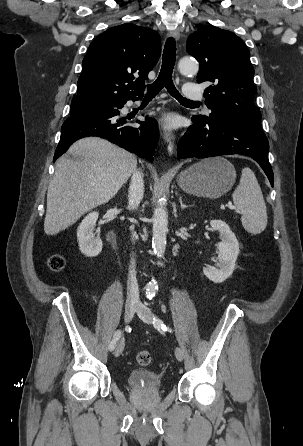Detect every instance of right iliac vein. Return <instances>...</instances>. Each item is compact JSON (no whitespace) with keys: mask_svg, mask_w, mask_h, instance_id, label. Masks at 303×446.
<instances>
[{"mask_svg":"<svg viewBox=\"0 0 303 446\" xmlns=\"http://www.w3.org/2000/svg\"><path fill=\"white\" fill-rule=\"evenodd\" d=\"M136 310H137V305L135 303H126V305H125V313H124V317H125V322L126 323H128V322H130L132 320ZM124 346H125L124 339H121L119 341L115 351H114V355L116 357L121 355V353L124 350Z\"/></svg>","mask_w":303,"mask_h":446,"instance_id":"63e3f726","label":"right iliac vein"}]
</instances>
